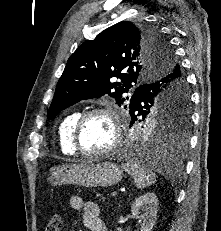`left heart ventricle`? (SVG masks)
I'll use <instances>...</instances> for the list:
<instances>
[{"label":"left heart ventricle","mask_w":221,"mask_h":231,"mask_svg":"<svg viewBox=\"0 0 221 231\" xmlns=\"http://www.w3.org/2000/svg\"><path fill=\"white\" fill-rule=\"evenodd\" d=\"M114 131L106 115L97 114L89 117L80 131V145L86 151H100L113 141Z\"/></svg>","instance_id":"1"}]
</instances>
